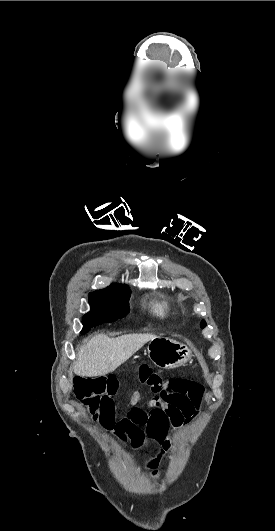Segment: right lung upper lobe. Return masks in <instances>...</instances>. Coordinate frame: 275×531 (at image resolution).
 Listing matches in <instances>:
<instances>
[{"mask_svg":"<svg viewBox=\"0 0 275 531\" xmlns=\"http://www.w3.org/2000/svg\"><path fill=\"white\" fill-rule=\"evenodd\" d=\"M128 288L127 285H118V284H112L108 288Z\"/></svg>","mask_w":275,"mask_h":531,"instance_id":"obj_1","label":"right lung upper lobe"}]
</instances>
